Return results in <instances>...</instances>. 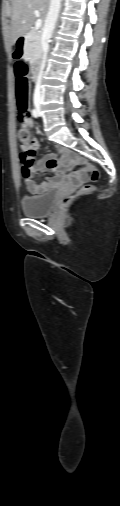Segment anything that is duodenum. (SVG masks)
Masks as SVG:
<instances>
[{
	"label": "duodenum",
	"instance_id": "410a0bca",
	"mask_svg": "<svg viewBox=\"0 0 120 506\" xmlns=\"http://www.w3.org/2000/svg\"><path fill=\"white\" fill-rule=\"evenodd\" d=\"M26 42V35H21L18 38L17 45L15 46V57L16 58H25L26 57V49L24 47V44ZM31 74L33 81L38 80L39 78V63L34 62L31 68Z\"/></svg>",
	"mask_w": 120,
	"mask_h": 506
}]
</instances>
